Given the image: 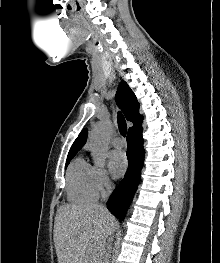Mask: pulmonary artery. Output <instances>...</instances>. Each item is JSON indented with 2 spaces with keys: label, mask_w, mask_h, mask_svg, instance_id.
<instances>
[{
  "label": "pulmonary artery",
  "mask_w": 220,
  "mask_h": 263,
  "mask_svg": "<svg viewBox=\"0 0 220 263\" xmlns=\"http://www.w3.org/2000/svg\"><path fill=\"white\" fill-rule=\"evenodd\" d=\"M112 145L115 148H121L124 145V142H123V140L120 137H114L112 139Z\"/></svg>",
  "instance_id": "e3ab8cb5"
}]
</instances>
